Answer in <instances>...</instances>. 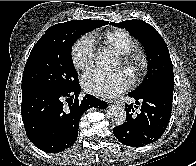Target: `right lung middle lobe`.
I'll return each instance as SVG.
<instances>
[{"label":"right lung middle lobe","mask_w":196,"mask_h":166,"mask_svg":"<svg viewBox=\"0 0 196 166\" xmlns=\"http://www.w3.org/2000/svg\"><path fill=\"white\" fill-rule=\"evenodd\" d=\"M104 23L72 20L54 25L33 47L26 62L22 90L46 87L68 92L78 85V75L71 59V47L84 33Z\"/></svg>","instance_id":"1"}]
</instances>
